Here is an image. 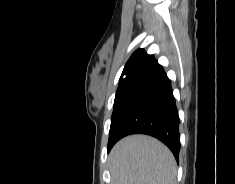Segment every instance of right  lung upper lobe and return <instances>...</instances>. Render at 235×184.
I'll list each match as a JSON object with an SVG mask.
<instances>
[{
	"label": "right lung upper lobe",
	"instance_id": "1",
	"mask_svg": "<svg viewBox=\"0 0 235 184\" xmlns=\"http://www.w3.org/2000/svg\"><path fill=\"white\" fill-rule=\"evenodd\" d=\"M157 65L159 64L153 55H148L143 49H138L126 63L117 91H126Z\"/></svg>",
	"mask_w": 235,
	"mask_h": 184
}]
</instances>
